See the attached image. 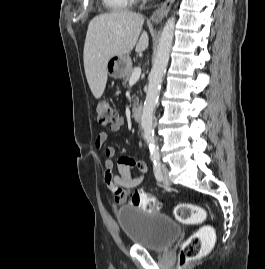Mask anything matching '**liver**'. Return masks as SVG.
<instances>
[{"mask_svg": "<svg viewBox=\"0 0 265 269\" xmlns=\"http://www.w3.org/2000/svg\"><path fill=\"white\" fill-rule=\"evenodd\" d=\"M144 17L130 11H113L94 17L84 44V69L92 94L99 99L107 83V63L114 56L147 49L149 38L142 31Z\"/></svg>", "mask_w": 265, "mask_h": 269, "instance_id": "1", "label": "liver"}]
</instances>
